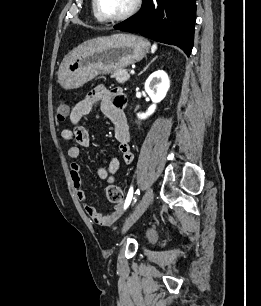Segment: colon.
I'll use <instances>...</instances> for the list:
<instances>
[{
    "mask_svg": "<svg viewBox=\"0 0 261 306\" xmlns=\"http://www.w3.org/2000/svg\"><path fill=\"white\" fill-rule=\"evenodd\" d=\"M55 108L58 120L64 121L69 113V105L65 101H59ZM106 195L108 200L112 203H121L123 201V192L117 185H108L106 188Z\"/></svg>",
    "mask_w": 261,
    "mask_h": 306,
    "instance_id": "obj_1",
    "label": "colon"
}]
</instances>
